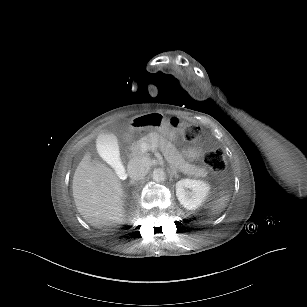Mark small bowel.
Returning <instances> with one entry per match:
<instances>
[{
  "mask_svg": "<svg viewBox=\"0 0 307 307\" xmlns=\"http://www.w3.org/2000/svg\"><path fill=\"white\" fill-rule=\"evenodd\" d=\"M192 153L194 155H198L200 153V150L198 148H194V149H192Z\"/></svg>",
  "mask_w": 307,
  "mask_h": 307,
  "instance_id": "obj_1",
  "label": "small bowel"
}]
</instances>
